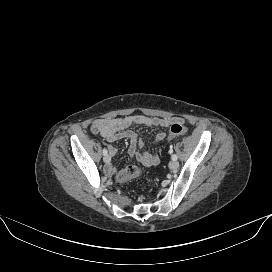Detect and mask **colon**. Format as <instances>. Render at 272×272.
Instances as JSON below:
<instances>
[{"label":"colon","mask_w":272,"mask_h":272,"mask_svg":"<svg viewBox=\"0 0 272 272\" xmlns=\"http://www.w3.org/2000/svg\"><path fill=\"white\" fill-rule=\"evenodd\" d=\"M187 129L179 123H175L171 126L168 139H172L178 136L185 135ZM141 175V170L134 165L127 166L116 175V181L118 183H125L132 179L138 178Z\"/></svg>","instance_id":"5ec220e1"}]
</instances>
